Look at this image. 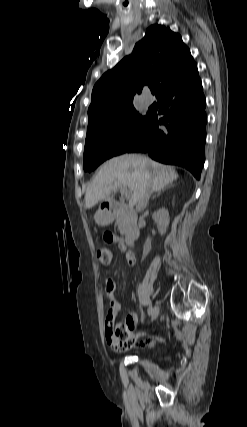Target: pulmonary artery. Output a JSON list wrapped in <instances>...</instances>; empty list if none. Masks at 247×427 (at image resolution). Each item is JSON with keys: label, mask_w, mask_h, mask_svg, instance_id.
<instances>
[{"label": "pulmonary artery", "mask_w": 247, "mask_h": 427, "mask_svg": "<svg viewBox=\"0 0 247 427\" xmlns=\"http://www.w3.org/2000/svg\"><path fill=\"white\" fill-rule=\"evenodd\" d=\"M144 104H145L146 106H149V105L151 104V100H150V99H148V98L144 99Z\"/></svg>", "instance_id": "1"}]
</instances>
